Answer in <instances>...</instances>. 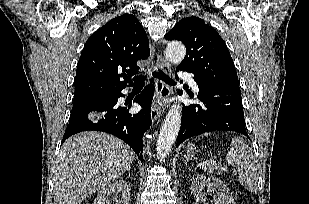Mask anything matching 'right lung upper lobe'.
Instances as JSON below:
<instances>
[{
    "instance_id": "right-lung-upper-lobe-1",
    "label": "right lung upper lobe",
    "mask_w": 309,
    "mask_h": 204,
    "mask_svg": "<svg viewBox=\"0 0 309 204\" xmlns=\"http://www.w3.org/2000/svg\"><path fill=\"white\" fill-rule=\"evenodd\" d=\"M150 55L146 32L132 14L110 20L87 40L80 56L74 104L116 93L131 82L137 61Z\"/></svg>"
}]
</instances>
